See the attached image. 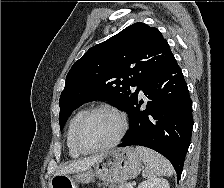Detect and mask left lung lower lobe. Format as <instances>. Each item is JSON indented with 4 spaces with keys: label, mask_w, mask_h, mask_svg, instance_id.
<instances>
[{
    "label": "left lung lower lobe",
    "mask_w": 224,
    "mask_h": 188,
    "mask_svg": "<svg viewBox=\"0 0 224 188\" xmlns=\"http://www.w3.org/2000/svg\"><path fill=\"white\" fill-rule=\"evenodd\" d=\"M140 90L148 98L146 109L137 96L130 112V129L119 147L140 145L164 155L180 179L193 128L192 103L175 58L146 80Z\"/></svg>",
    "instance_id": "obj_1"
}]
</instances>
